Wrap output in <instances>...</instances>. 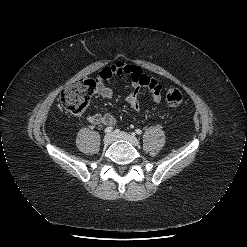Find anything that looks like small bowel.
I'll use <instances>...</instances> for the list:
<instances>
[{
  "instance_id": "1",
  "label": "small bowel",
  "mask_w": 247,
  "mask_h": 247,
  "mask_svg": "<svg viewBox=\"0 0 247 247\" xmlns=\"http://www.w3.org/2000/svg\"><path fill=\"white\" fill-rule=\"evenodd\" d=\"M117 76H127L131 81L132 90L126 97V102L130 108L138 111L140 109L139 96L143 89H147L154 102L159 103L162 99V86L154 78L146 75L137 65H130L124 62H117L112 66L103 68L96 79V93L103 98H110L113 91L104 84L108 80ZM92 125H113L117 122V117L110 113H95L87 117Z\"/></svg>"
}]
</instances>
